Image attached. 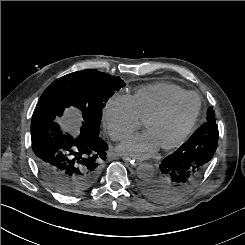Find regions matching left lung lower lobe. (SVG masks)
<instances>
[{
	"instance_id": "left-lung-lower-lobe-1",
	"label": "left lung lower lobe",
	"mask_w": 245,
	"mask_h": 245,
	"mask_svg": "<svg viewBox=\"0 0 245 245\" xmlns=\"http://www.w3.org/2000/svg\"><path fill=\"white\" fill-rule=\"evenodd\" d=\"M218 126L205 122L173 154L161 161L156 179L143 184V192L157 201L176 198L189 189L213 158Z\"/></svg>"
}]
</instances>
